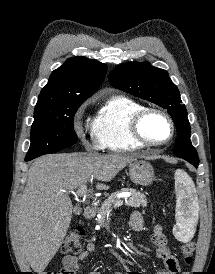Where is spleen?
Segmentation results:
<instances>
[{"instance_id":"obj_1","label":"spleen","mask_w":215,"mask_h":274,"mask_svg":"<svg viewBox=\"0 0 215 274\" xmlns=\"http://www.w3.org/2000/svg\"><path fill=\"white\" fill-rule=\"evenodd\" d=\"M175 191L177 224L174 234L178 240L187 242L195 231L198 198L192 178L181 169L175 171Z\"/></svg>"}]
</instances>
